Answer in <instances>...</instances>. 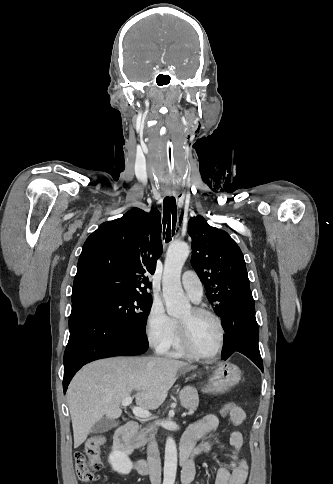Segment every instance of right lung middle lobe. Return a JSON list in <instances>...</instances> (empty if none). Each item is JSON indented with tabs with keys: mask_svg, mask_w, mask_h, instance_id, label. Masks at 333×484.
I'll return each instance as SVG.
<instances>
[{
	"mask_svg": "<svg viewBox=\"0 0 333 484\" xmlns=\"http://www.w3.org/2000/svg\"><path fill=\"white\" fill-rule=\"evenodd\" d=\"M83 298L99 304L110 317L133 334L146 337V321L152 305L150 295H121L92 292Z\"/></svg>",
	"mask_w": 333,
	"mask_h": 484,
	"instance_id": "dd1d6c3e",
	"label": "right lung middle lobe"
}]
</instances>
